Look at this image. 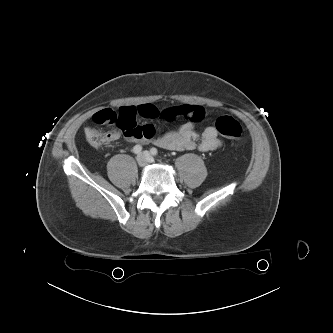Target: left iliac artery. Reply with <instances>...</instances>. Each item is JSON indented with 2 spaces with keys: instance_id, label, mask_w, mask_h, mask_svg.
<instances>
[{
  "instance_id": "left-iliac-artery-1",
  "label": "left iliac artery",
  "mask_w": 333,
  "mask_h": 333,
  "mask_svg": "<svg viewBox=\"0 0 333 333\" xmlns=\"http://www.w3.org/2000/svg\"><path fill=\"white\" fill-rule=\"evenodd\" d=\"M150 152H151V154H152L153 156H156V155L158 154V151H157V149H156L155 147L151 148V149H150Z\"/></svg>"
}]
</instances>
